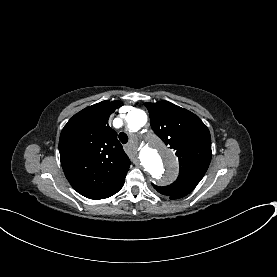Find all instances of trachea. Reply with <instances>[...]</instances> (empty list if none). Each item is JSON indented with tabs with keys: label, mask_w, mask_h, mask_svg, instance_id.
<instances>
[{
	"label": "trachea",
	"mask_w": 277,
	"mask_h": 277,
	"mask_svg": "<svg viewBox=\"0 0 277 277\" xmlns=\"http://www.w3.org/2000/svg\"><path fill=\"white\" fill-rule=\"evenodd\" d=\"M118 137L121 143L126 144L128 142V136L125 133L121 132Z\"/></svg>",
	"instance_id": "3493384b"
}]
</instances>
